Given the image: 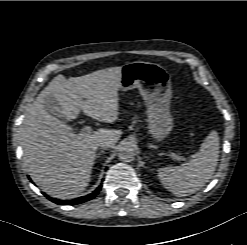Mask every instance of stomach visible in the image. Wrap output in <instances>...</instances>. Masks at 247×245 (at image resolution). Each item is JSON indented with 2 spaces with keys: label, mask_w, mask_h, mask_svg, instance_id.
I'll return each mask as SVG.
<instances>
[{
  "label": "stomach",
  "mask_w": 247,
  "mask_h": 245,
  "mask_svg": "<svg viewBox=\"0 0 247 245\" xmlns=\"http://www.w3.org/2000/svg\"><path fill=\"white\" fill-rule=\"evenodd\" d=\"M133 88H138L147 107L149 134L157 142H162L173 128L169 73L156 63L144 61L126 63L121 67L120 89L127 91Z\"/></svg>",
  "instance_id": "1"
}]
</instances>
